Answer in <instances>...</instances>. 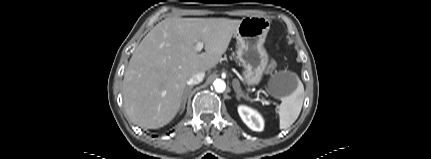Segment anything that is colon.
<instances>
[{"label":"colon","instance_id":"5ec220e1","mask_svg":"<svg viewBox=\"0 0 431 159\" xmlns=\"http://www.w3.org/2000/svg\"><path fill=\"white\" fill-rule=\"evenodd\" d=\"M274 68H275V62H274V61H271V62L269 63V65H268V69H267V71H268V72H271Z\"/></svg>","mask_w":431,"mask_h":159}]
</instances>
